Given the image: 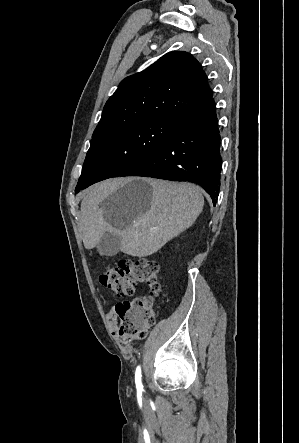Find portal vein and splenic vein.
<instances>
[{
    "mask_svg": "<svg viewBox=\"0 0 299 443\" xmlns=\"http://www.w3.org/2000/svg\"><path fill=\"white\" fill-rule=\"evenodd\" d=\"M139 225V223H137V222H134V226H138Z\"/></svg>",
    "mask_w": 299,
    "mask_h": 443,
    "instance_id": "obj_1",
    "label": "portal vein and splenic vein"
}]
</instances>
